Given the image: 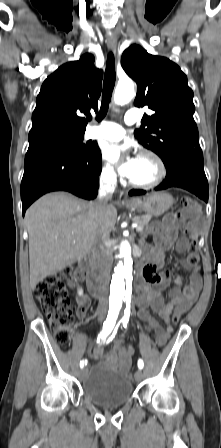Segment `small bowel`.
I'll list each match as a JSON object with an SVG mask.
<instances>
[{"mask_svg": "<svg viewBox=\"0 0 221 448\" xmlns=\"http://www.w3.org/2000/svg\"><path fill=\"white\" fill-rule=\"evenodd\" d=\"M179 231L176 217L172 214L167 215L157 227L151 242L145 244L147 263L142 270V281L137 287L138 315L146 329L153 334L159 346L166 344L173 331L171 325L173 315L181 317L185 314L197 299L202 287L200 267L191 265L186 259L181 258L177 261V265L190 272L189 281L184 284L180 275L174 276L172 282L175 287L169 292L170 301L166 303L163 298L162 290L170 281L167 272L158 273L162 267L164 251L174 247L177 252L184 253L190 242L198 237L195 223L186 225L182 229L183 236H178ZM76 302V315L79 318H84L90 306V299L87 296H79ZM148 309L161 318L165 324L164 328L149 313ZM133 355L134 348L126 346L122 340H119L107 354L104 355L102 349H97L92 358L94 361L104 358L110 365L125 374L131 367Z\"/></svg>", "mask_w": 221, "mask_h": 448, "instance_id": "obj_1", "label": "small bowel"}]
</instances>
